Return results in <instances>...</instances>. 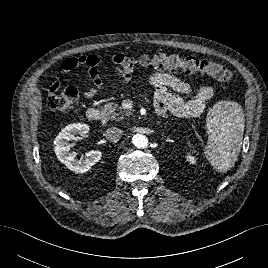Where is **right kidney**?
<instances>
[{
  "label": "right kidney",
  "instance_id": "ca27d5eb",
  "mask_svg": "<svg viewBox=\"0 0 268 268\" xmlns=\"http://www.w3.org/2000/svg\"><path fill=\"white\" fill-rule=\"evenodd\" d=\"M89 132V126L82 123H74L66 126L54 140V151L57 158L71 171L83 174L91 169L102 157L99 150H92L85 154L84 158L76 159V153L70 152L69 143L76 135H85Z\"/></svg>",
  "mask_w": 268,
  "mask_h": 268
}]
</instances>
